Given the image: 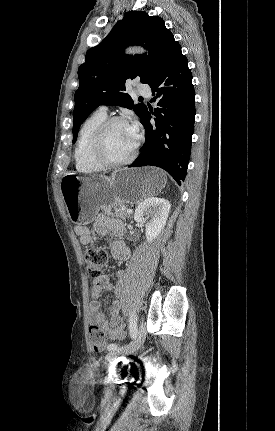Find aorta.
I'll return each instance as SVG.
<instances>
[{"label": "aorta", "instance_id": "aorta-1", "mask_svg": "<svg viewBox=\"0 0 275 431\" xmlns=\"http://www.w3.org/2000/svg\"><path fill=\"white\" fill-rule=\"evenodd\" d=\"M128 53H142L144 52L142 49L133 48L127 51Z\"/></svg>", "mask_w": 275, "mask_h": 431}]
</instances>
